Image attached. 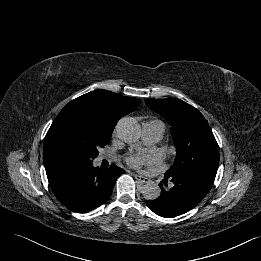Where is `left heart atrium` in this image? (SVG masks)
Here are the masks:
<instances>
[{
  "mask_svg": "<svg viewBox=\"0 0 261 261\" xmlns=\"http://www.w3.org/2000/svg\"><path fill=\"white\" fill-rule=\"evenodd\" d=\"M127 163L134 168H140L142 165L146 164L149 159L144 155L130 154L126 158Z\"/></svg>",
  "mask_w": 261,
  "mask_h": 261,
  "instance_id": "left-heart-atrium-1",
  "label": "left heart atrium"
}]
</instances>
